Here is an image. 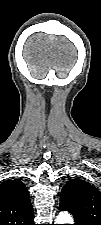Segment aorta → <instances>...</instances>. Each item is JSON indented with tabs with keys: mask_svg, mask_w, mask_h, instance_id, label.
Segmentation results:
<instances>
[{
	"mask_svg": "<svg viewBox=\"0 0 101 225\" xmlns=\"http://www.w3.org/2000/svg\"><path fill=\"white\" fill-rule=\"evenodd\" d=\"M73 223L74 221L72 216L67 212H61L55 220V224H73Z\"/></svg>",
	"mask_w": 101,
	"mask_h": 225,
	"instance_id": "1",
	"label": "aorta"
}]
</instances>
